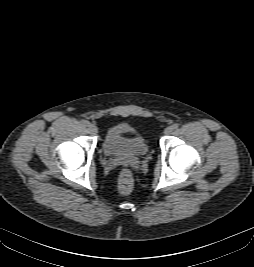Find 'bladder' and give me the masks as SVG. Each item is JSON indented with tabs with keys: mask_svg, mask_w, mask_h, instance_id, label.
Masks as SVG:
<instances>
[{
	"mask_svg": "<svg viewBox=\"0 0 254 267\" xmlns=\"http://www.w3.org/2000/svg\"><path fill=\"white\" fill-rule=\"evenodd\" d=\"M108 157H141L148 152L145 138L127 123H120L108 129L102 143Z\"/></svg>",
	"mask_w": 254,
	"mask_h": 267,
	"instance_id": "1",
	"label": "bladder"
}]
</instances>
